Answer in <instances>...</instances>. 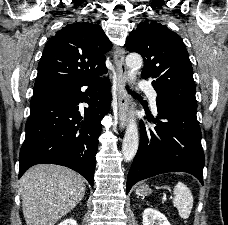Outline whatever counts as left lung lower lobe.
I'll return each instance as SVG.
<instances>
[{"label":"left lung lower lobe","mask_w":228,"mask_h":225,"mask_svg":"<svg viewBox=\"0 0 228 225\" xmlns=\"http://www.w3.org/2000/svg\"><path fill=\"white\" fill-rule=\"evenodd\" d=\"M157 126L140 122V145L127 178L126 193L140 180L167 172H187L203 185L204 153L197 106L156 98ZM150 120V117L147 116Z\"/></svg>","instance_id":"left-lung-lower-lobe-1"}]
</instances>
